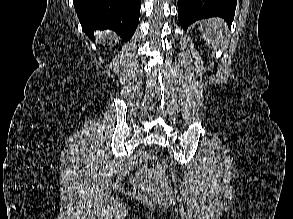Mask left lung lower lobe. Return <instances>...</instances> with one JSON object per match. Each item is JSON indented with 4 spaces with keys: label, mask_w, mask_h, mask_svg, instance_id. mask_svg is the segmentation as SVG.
Masks as SVG:
<instances>
[{
    "label": "left lung lower lobe",
    "mask_w": 293,
    "mask_h": 219,
    "mask_svg": "<svg viewBox=\"0 0 293 219\" xmlns=\"http://www.w3.org/2000/svg\"><path fill=\"white\" fill-rule=\"evenodd\" d=\"M236 3L237 0H179L178 19L185 30L197 20L216 16L223 18L230 27Z\"/></svg>",
    "instance_id": "obj_1"
}]
</instances>
